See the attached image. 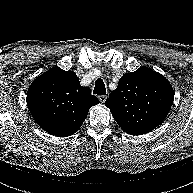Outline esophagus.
I'll use <instances>...</instances> for the list:
<instances>
[{"label": "esophagus", "instance_id": "esophagus-1", "mask_svg": "<svg viewBox=\"0 0 193 193\" xmlns=\"http://www.w3.org/2000/svg\"><path fill=\"white\" fill-rule=\"evenodd\" d=\"M98 99L101 103H105L106 99H107V96L106 95H99L98 96Z\"/></svg>", "mask_w": 193, "mask_h": 193}]
</instances>
